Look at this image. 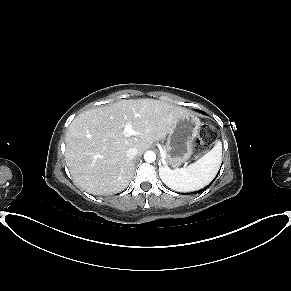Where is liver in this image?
<instances>
[{"instance_id": "1", "label": "liver", "mask_w": 291, "mask_h": 291, "mask_svg": "<svg viewBox=\"0 0 291 291\" xmlns=\"http://www.w3.org/2000/svg\"><path fill=\"white\" fill-rule=\"evenodd\" d=\"M189 114L186 108L149 98L121 100L79 114L65 138V159L73 180L95 195L123 191L134 174L127 149L134 147L142 154ZM126 123L136 135L125 136Z\"/></svg>"}]
</instances>
